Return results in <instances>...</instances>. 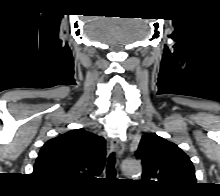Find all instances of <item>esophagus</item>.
I'll return each instance as SVG.
<instances>
[{
    "instance_id": "1",
    "label": "esophagus",
    "mask_w": 220,
    "mask_h": 196,
    "mask_svg": "<svg viewBox=\"0 0 220 196\" xmlns=\"http://www.w3.org/2000/svg\"><path fill=\"white\" fill-rule=\"evenodd\" d=\"M110 148L117 154V157L120 158L124 151V144L119 138L115 137L111 140Z\"/></svg>"
}]
</instances>
